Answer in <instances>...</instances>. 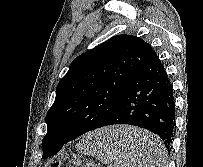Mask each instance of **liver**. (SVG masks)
Returning a JSON list of instances; mask_svg holds the SVG:
<instances>
[{"label": "liver", "mask_w": 203, "mask_h": 167, "mask_svg": "<svg viewBox=\"0 0 203 167\" xmlns=\"http://www.w3.org/2000/svg\"><path fill=\"white\" fill-rule=\"evenodd\" d=\"M110 139L124 142L125 145L119 144L122 149H125L133 159L140 153L143 154V148L147 141L153 137L149 132L131 126H117L108 130ZM127 145L129 149L127 148Z\"/></svg>", "instance_id": "obj_1"}]
</instances>
